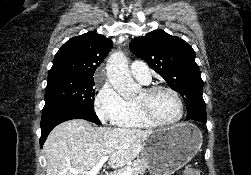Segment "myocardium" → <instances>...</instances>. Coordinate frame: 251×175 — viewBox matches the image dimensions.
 Here are the masks:
<instances>
[{"label": "myocardium", "mask_w": 251, "mask_h": 175, "mask_svg": "<svg viewBox=\"0 0 251 175\" xmlns=\"http://www.w3.org/2000/svg\"><path fill=\"white\" fill-rule=\"evenodd\" d=\"M162 90H167V91L172 92L176 96V98H177V100H178V102L180 104L181 116H180V118H179V120L177 122H175V123H163V122L159 121L151 111H149V110L139 106L138 104H136L138 112L144 118H146L149 123H151L153 126H156V127L175 128V127L181 126L185 122L186 117H187V109H186V105H185L182 94L177 89H175V88H173L171 86H168V85H157V86H151V87H148V88L144 89V91L146 93H148V94H153L155 92L162 91Z\"/></svg>", "instance_id": "f54148a6"}]
</instances>
